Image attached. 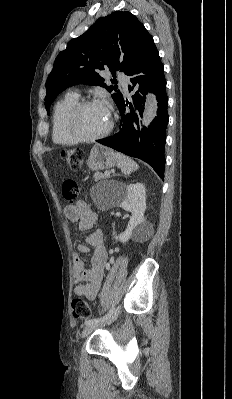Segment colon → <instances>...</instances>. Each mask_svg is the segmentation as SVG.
<instances>
[{"instance_id": "5ec220e1", "label": "colon", "mask_w": 232, "mask_h": 399, "mask_svg": "<svg viewBox=\"0 0 232 399\" xmlns=\"http://www.w3.org/2000/svg\"><path fill=\"white\" fill-rule=\"evenodd\" d=\"M66 168H81V164H86V151H79L78 148H68L65 152ZM67 185H72L74 175H66ZM78 191V186H64L59 190L60 194H75ZM65 203H72V198H65ZM71 301H81V303H74L71 306V320H91V316H97V307L93 306L91 311V302L87 301L85 296H71Z\"/></svg>"}]
</instances>
